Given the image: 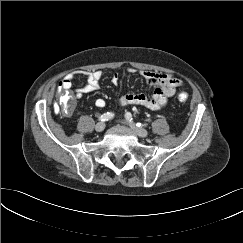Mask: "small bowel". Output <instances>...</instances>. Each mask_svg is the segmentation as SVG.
<instances>
[{
    "instance_id": "small-bowel-1",
    "label": "small bowel",
    "mask_w": 243,
    "mask_h": 243,
    "mask_svg": "<svg viewBox=\"0 0 243 243\" xmlns=\"http://www.w3.org/2000/svg\"><path fill=\"white\" fill-rule=\"evenodd\" d=\"M148 88L151 90L150 94H123L117 98V103L121 106L139 105L151 110H158L163 108L170 97H172L176 89L182 85V81L177 77L152 71H142ZM76 76L84 77L87 84L75 90V98L80 99L86 93L96 91L100 88V81L103 73L99 70L96 71H79L75 74L67 75L60 83L59 86L64 90L72 88L73 80ZM112 83L119 84V75L114 73L112 76ZM98 108H103L106 102L102 98L95 101Z\"/></svg>"
}]
</instances>
